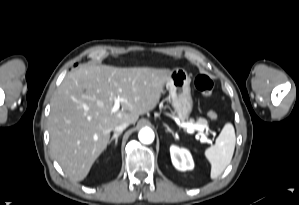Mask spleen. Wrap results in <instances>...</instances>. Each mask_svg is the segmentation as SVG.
<instances>
[{"label":"spleen","instance_id":"1","mask_svg":"<svg viewBox=\"0 0 299 205\" xmlns=\"http://www.w3.org/2000/svg\"><path fill=\"white\" fill-rule=\"evenodd\" d=\"M235 143L234 127L231 123H226L216 138L215 144L206 149L204 153L211 164V179H216L230 164L235 149Z\"/></svg>","mask_w":299,"mask_h":205}]
</instances>
